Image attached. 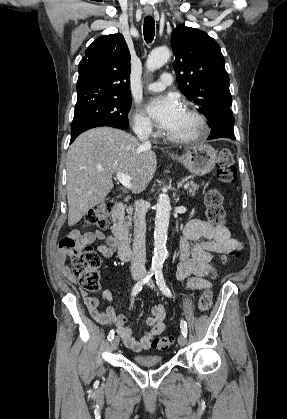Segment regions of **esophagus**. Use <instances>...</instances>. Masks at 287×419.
Instances as JSON below:
<instances>
[{
	"label": "esophagus",
	"instance_id": "1",
	"mask_svg": "<svg viewBox=\"0 0 287 419\" xmlns=\"http://www.w3.org/2000/svg\"><path fill=\"white\" fill-rule=\"evenodd\" d=\"M150 14H151V12H150V11L146 12V15H150Z\"/></svg>",
	"mask_w": 287,
	"mask_h": 419
}]
</instances>
